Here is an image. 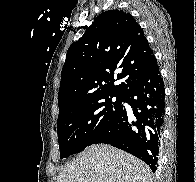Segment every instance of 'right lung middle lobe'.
Wrapping results in <instances>:
<instances>
[{
    "instance_id": "dd1d6c3e",
    "label": "right lung middle lobe",
    "mask_w": 196,
    "mask_h": 182,
    "mask_svg": "<svg viewBox=\"0 0 196 182\" xmlns=\"http://www.w3.org/2000/svg\"><path fill=\"white\" fill-rule=\"evenodd\" d=\"M99 96L59 113L57 120L60 158L69 157L91 145L95 137L123 110L124 97Z\"/></svg>"
}]
</instances>
